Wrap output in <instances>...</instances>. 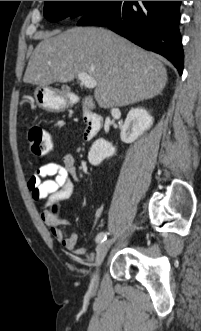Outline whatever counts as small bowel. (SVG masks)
Segmentation results:
<instances>
[{"instance_id":"obj_1","label":"small bowel","mask_w":201,"mask_h":331,"mask_svg":"<svg viewBox=\"0 0 201 331\" xmlns=\"http://www.w3.org/2000/svg\"><path fill=\"white\" fill-rule=\"evenodd\" d=\"M75 174V158L71 154L63 157L62 163L48 162L36 169L27 181L32 198L41 202V218L50 228L52 235L66 249L75 255H83L86 250L77 247L78 234L66 233L61 224H70L71 219L62 215H54L49 207L69 199L74 191L71 176Z\"/></svg>"}]
</instances>
